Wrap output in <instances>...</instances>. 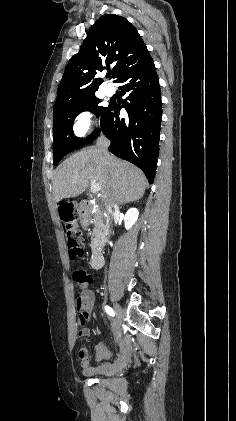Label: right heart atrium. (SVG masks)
<instances>
[{
	"label": "right heart atrium",
	"mask_w": 236,
	"mask_h": 421,
	"mask_svg": "<svg viewBox=\"0 0 236 421\" xmlns=\"http://www.w3.org/2000/svg\"><path fill=\"white\" fill-rule=\"evenodd\" d=\"M95 122L90 111L80 112L74 119L73 133L78 138H84L94 128Z\"/></svg>",
	"instance_id": "obj_1"
}]
</instances>
